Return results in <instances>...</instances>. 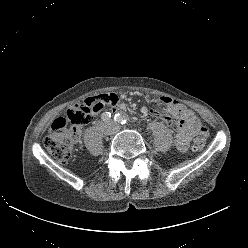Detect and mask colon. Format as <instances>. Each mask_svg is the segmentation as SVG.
<instances>
[{"label":"colon","mask_w":248,"mask_h":248,"mask_svg":"<svg viewBox=\"0 0 248 248\" xmlns=\"http://www.w3.org/2000/svg\"><path fill=\"white\" fill-rule=\"evenodd\" d=\"M102 102L113 104V98L108 94L87 97L81 103L70 107L64 117H59L53 122L44 144L55 159L66 163L71 158L74 145L79 138L80 127L91 121L93 115L100 110ZM206 136V129L198 124L192 144L194 151L203 149Z\"/></svg>","instance_id":"1"}]
</instances>
